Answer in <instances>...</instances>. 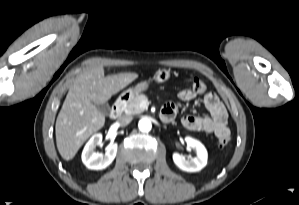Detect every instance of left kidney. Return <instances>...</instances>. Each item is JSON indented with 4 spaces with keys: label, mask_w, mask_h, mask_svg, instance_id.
Returning <instances> with one entry per match:
<instances>
[{
    "label": "left kidney",
    "mask_w": 299,
    "mask_h": 205,
    "mask_svg": "<svg viewBox=\"0 0 299 205\" xmlns=\"http://www.w3.org/2000/svg\"><path fill=\"white\" fill-rule=\"evenodd\" d=\"M185 141L189 148L196 150V157L186 160L184 156L174 153L173 161L176 166L186 172H198L207 164L208 153L205 146L192 137H186Z\"/></svg>",
    "instance_id": "5707ae66"
}]
</instances>
